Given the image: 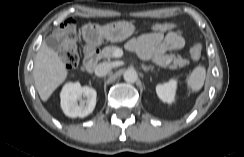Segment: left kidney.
Here are the masks:
<instances>
[{
  "mask_svg": "<svg viewBox=\"0 0 244 157\" xmlns=\"http://www.w3.org/2000/svg\"><path fill=\"white\" fill-rule=\"evenodd\" d=\"M177 87V81L171 79L169 82L164 84H158L156 86V93L158 97L166 103H172L175 99V90Z\"/></svg>",
  "mask_w": 244,
  "mask_h": 157,
  "instance_id": "left-kidney-1",
  "label": "left kidney"
}]
</instances>
